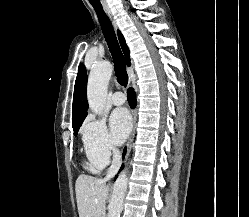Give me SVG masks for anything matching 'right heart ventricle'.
Listing matches in <instances>:
<instances>
[{
  "label": "right heart ventricle",
  "instance_id": "right-heart-ventricle-1",
  "mask_svg": "<svg viewBox=\"0 0 249 217\" xmlns=\"http://www.w3.org/2000/svg\"><path fill=\"white\" fill-rule=\"evenodd\" d=\"M86 167H87L90 171H92V172H97V171L100 169V167L94 165V164L91 163V162L88 163V164H86Z\"/></svg>",
  "mask_w": 249,
  "mask_h": 217
}]
</instances>
